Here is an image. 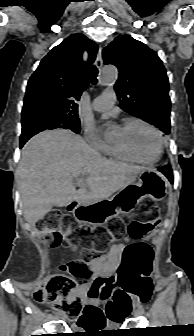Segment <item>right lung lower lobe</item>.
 <instances>
[{
    "instance_id": "obj_1",
    "label": "right lung lower lobe",
    "mask_w": 194,
    "mask_h": 336,
    "mask_svg": "<svg viewBox=\"0 0 194 336\" xmlns=\"http://www.w3.org/2000/svg\"><path fill=\"white\" fill-rule=\"evenodd\" d=\"M26 142V141H25ZM25 142H21L20 143V148H22V146L25 144Z\"/></svg>"
}]
</instances>
